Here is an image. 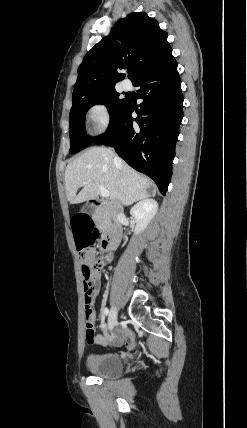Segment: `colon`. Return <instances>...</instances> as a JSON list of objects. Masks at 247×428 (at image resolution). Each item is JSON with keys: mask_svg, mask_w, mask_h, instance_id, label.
<instances>
[{"mask_svg": "<svg viewBox=\"0 0 247 428\" xmlns=\"http://www.w3.org/2000/svg\"><path fill=\"white\" fill-rule=\"evenodd\" d=\"M70 221L72 224V238L74 246L78 247L79 251L87 250V243L93 242V237L96 236V227L93 226L94 219L89 217V212H70ZM101 263L93 261L89 254H81V271L84 283L85 294V326L86 339L92 342L95 339L93 329L94 325V310L93 305L88 301L91 287L99 277V268Z\"/></svg>", "mask_w": 247, "mask_h": 428, "instance_id": "obj_1", "label": "colon"}]
</instances>
